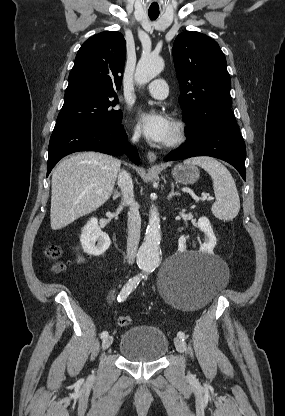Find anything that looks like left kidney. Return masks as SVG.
<instances>
[{"instance_id":"obj_1","label":"left kidney","mask_w":285,"mask_h":416,"mask_svg":"<svg viewBox=\"0 0 285 416\" xmlns=\"http://www.w3.org/2000/svg\"><path fill=\"white\" fill-rule=\"evenodd\" d=\"M198 228H200L201 232H204L205 234V242L204 244H201L200 252H207V254H212L217 244V240L208 218H199ZM178 244L180 250H186V238H184V236L179 238Z\"/></svg>"}]
</instances>
